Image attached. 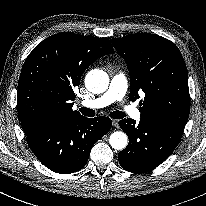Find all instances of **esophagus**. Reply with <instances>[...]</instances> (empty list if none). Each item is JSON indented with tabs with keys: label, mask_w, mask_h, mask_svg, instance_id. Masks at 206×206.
<instances>
[{
	"label": "esophagus",
	"mask_w": 206,
	"mask_h": 206,
	"mask_svg": "<svg viewBox=\"0 0 206 206\" xmlns=\"http://www.w3.org/2000/svg\"><path fill=\"white\" fill-rule=\"evenodd\" d=\"M113 126L118 128V120H112Z\"/></svg>",
	"instance_id": "esophagus-1"
}]
</instances>
